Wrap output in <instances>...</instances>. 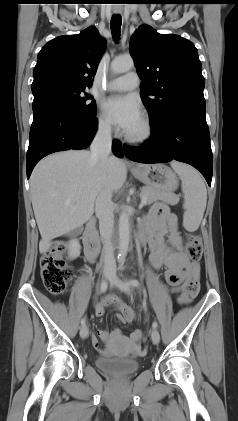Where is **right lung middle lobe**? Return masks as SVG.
Here are the masks:
<instances>
[{
  "mask_svg": "<svg viewBox=\"0 0 238 421\" xmlns=\"http://www.w3.org/2000/svg\"><path fill=\"white\" fill-rule=\"evenodd\" d=\"M34 101L52 98L58 100L84 117L96 115V103L93 97L85 92L84 87L72 86L60 82H45L32 86Z\"/></svg>",
  "mask_w": 238,
  "mask_h": 421,
  "instance_id": "dd1d6c3e",
  "label": "right lung middle lobe"
}]
</instances>
